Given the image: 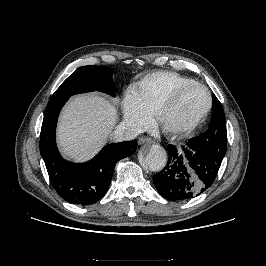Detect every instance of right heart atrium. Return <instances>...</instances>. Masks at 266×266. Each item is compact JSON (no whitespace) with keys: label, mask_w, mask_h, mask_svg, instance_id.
<instances>
[{"label":"right heart atrium","mask_w":266,"mask_h":266,"mask_svg":"<svg viewBox=\"0 0 266 266\" xmlns=\"http://www.w3.org/2000/svg\"><path fill=\"white\" fill-rule=\"evenodd\" d=\"M123 117L125 122L134 129L145 128L150 123V115L138 105L132 93L124 98Z\"/></svg>","instance_id":"1"}]
</instances>
